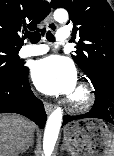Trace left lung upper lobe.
I'll return each instance as SVG.
<instances>
[{
    "label": "left lung upper lobe",
    "mask_w": 114,
    "mask_h": 156,
    "mask_svg": "<svg viewBox=\"0 0 114 156\" xmlns=\"http://www.w3.org/2000/svg\"><path fill=\"white\" fill-rule=\"evenodd\" d=\"M52 8H65L79 37L74 61L93 84L114 79V13L106 0H52Z\"/></svg>",
    "instance_id": "5c2ea615"
}]
</instances>
